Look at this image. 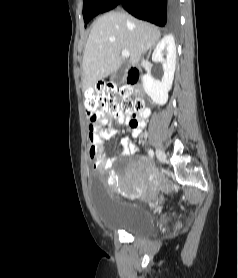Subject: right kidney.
Here are the masks:
<instances>
[{
	"mask_svg": "<svg viewBox=\"0 0 238 278\" xmlns=\"http://www.w3.org/2000/svg\"><path fill=\"white\" fill-rule=\"evenodd\" d=\"M167 52L166 59L163 52ZM153 62L163 64L164 75L162 81L154 79L151 75L143 77V87L145 92L158 105H164L168 100V92L172 88L176 65V46L173 36H165L156 46L152 54Z\"/></svg>",
	"mask_w": 238,
	"mask_h": 278,
	"instance_id": "right-kidney-1",
	"label": "right kidney"
}]
</instances>
